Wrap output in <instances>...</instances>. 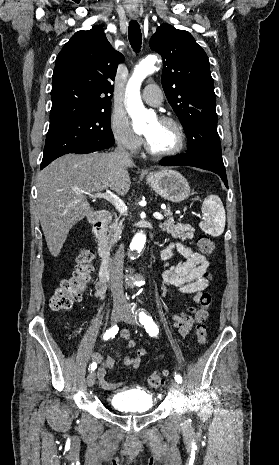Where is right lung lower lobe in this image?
I'll list each match as a JSON object with an SVG mask.
<instances>
[{"instance_id":"98d812e1","label":"right lung lower lobe","mask_w":279,"mask_h":465,"mask_svg":"<svg viewBox=\"0 0 279 465\" xmlns=\"http://www.w3.org/2000/svg\"><path fill=\"white\" fill-rule=\"evenodd\" d=\"M109 147L107 146H91V145H88V146H84V147H81L71 153H77V154H83V153H91V152H95V151H99V150H103V149H107ZM49 163L47 164H41L40 166V169H43L44 167H46Z\"/></svg>"}]
</instances>
